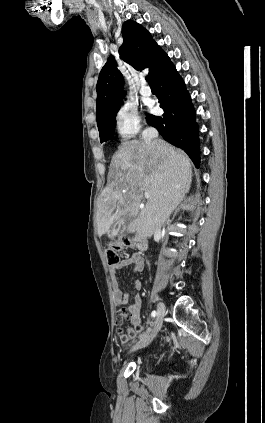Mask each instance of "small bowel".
Returning <instances> with one entry per match:
<instances>
[{
    "instance_id": "obj_1",
    "label": "small bowel",
    "mask_w": 265,
    "mask_h": 423,
    "mask_svg": "<svg viewBox=\"0 0 265 423\" xmlns=\"http://www.w3.org/2000/svg\"><path fill=\"white\" fill-rule=\"evenodd\" d=\"M127 266H133V271L139 272L143 268V258L139 254L133 253L122 261H120L119 263L111 265L109 267V274L111 278L112 290L115 301L118 304L124 306V311L129 316V321L133 327V329L129 333H124V335L122 336L120 335V339L122 342H127L137 335H146L145 331L141 327V297L139 293L141 289V282L136 280L134 282L132 291L126 292L125 294H123L119 288L117 272Z\"/></svg>"
}]
</instances>
